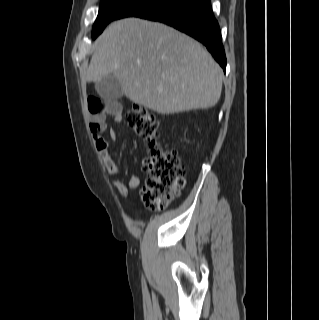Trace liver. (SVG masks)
I'll return each instance as SVG.
<instances>
[{
  "mask_svg": "<svg viewBox=\"0 0 319 320\" xmlns=\"http://www.w3.org/2000/svg\"><path fill=\"white\" fill-rule=\"evenodd\" d=\"M94 48L86 79L113 75L129 100L159 114L207 109L220 99L222 69L201 44L172 27L122 19Z\"/></svg>",
  "mask_w": 319,
  "mask_h": 320,
  "instance_id": "6515ba94",
  "label": "liver"
}]
</instances>
